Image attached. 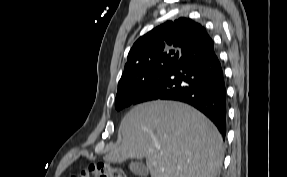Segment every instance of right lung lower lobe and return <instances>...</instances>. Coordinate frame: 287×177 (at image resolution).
<instances>
[{
    "label": "right lung lower lobe",
    "instance_id": "1",
    "mask_svg": "<svg viewBox=\"0 0 287 177\" xmlns=\"http://www.w3.org/2000/svg\"><path fill=\"white\" fill-rule=\"evenodd\" d=\"M176 100L204 113L226 135V86L214 42L204 30L182 52L178 63L143 91L132 104Z\"/></svg>",
    "mask_w": 287,
    "mask_h": 177
}]
</instances>
